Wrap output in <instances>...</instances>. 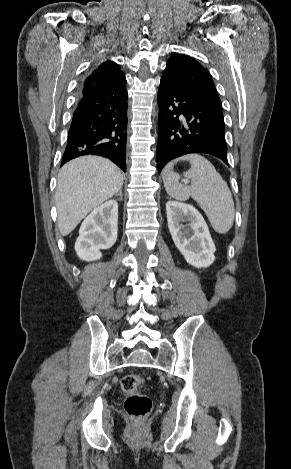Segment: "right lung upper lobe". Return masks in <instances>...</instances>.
<instances>
[{
	"label": "right lung upper lobe",
	"mask_w": 291,
	"mask_h": 469,
	"mask_svg": "<svg viewBox=\"0 0 291 469\" xmlns=\"http://www.w3.org/2000/svg\"><path fill=\"white\" fill-rule=\"evenodd\" d=\"M125 75L113 61H107L87 76L82 84L80 95L100 89H126Z\"/></svg>",
	"instance_id": "obj_1"
}]
</instances>
